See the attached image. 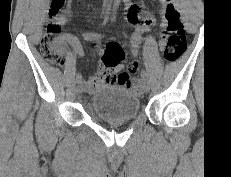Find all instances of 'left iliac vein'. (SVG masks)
<instances>
[{"instance_id":"left-iliac-vein-1","label":"left iliac vein","mask_w":231,"mask_h":177,"mask_svg":"<svg viewBox=\"0 0 231 177\" xmlns=\"http://www.w3.org/2000/svg\"><path fill=\"white\" fill-rule=\"evenodd\" d=\"M142 88L145 93H148L150 90L149 82L146 78H142L141 80Z\"/></svg>"}]
</instances>
